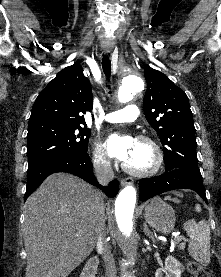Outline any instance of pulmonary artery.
I'll return each instance as SVG.
<instances>
[{
    "instance_id": "obj_1",
    "label": "pulmonary artery",
    "mask_w": 221,
    "mask_h": 277,
    "mask_svg": "<svg viewBox=\"0 0 221 277\" xmlns=\"http://www.w3.org/2000/svg\"><path fill=\"white\" fill-rule=\"evenodd\" d=\"M140 110L137 105H128L121 110L110 112L104 117L105 121L110 123L133 122L138 119Z\"/></svg>"
}]
</instances>
